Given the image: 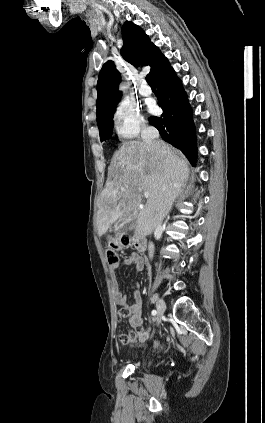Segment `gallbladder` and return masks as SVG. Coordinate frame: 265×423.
I'll return each mask as SVG.
<instances>
[{
	"label": "gallbladder",
	"mask_w": 265,
	"mask_h": 423,
	"mask_svg": "<svg viewBox=\"0 0 265 423\" xmlns=\"http://www.w3.org/2000/svg\"><path fill=\"white\" fill-rule=\"evenodd\" d=\"M134 218H135V217H134L133 215H130V216H129L128 218H126V219L120 218L118 221H116V222L114 223L113 228H114L115 230H118V229H121V228H123V227H127V226H128V224L134 220Z\"/></svg>",
	"instance_id": "gallbladder-1"
}]
</instances>
